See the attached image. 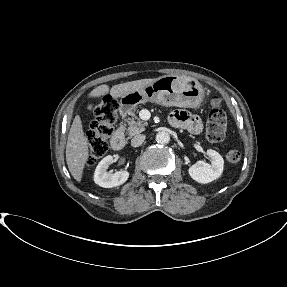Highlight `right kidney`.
Listing matches in <instances>:
<instances>
[{"label":"right kidney","mask_w":287,"mask_h":287,"mask_svg":"<svg viewBox=\"0 0 287 287\" xmlns=\"http://www.w3.org/2000/svg\"><path fill=\"white\" fill-rule=\"evenodd\" d=\"M113 156L108 155L104 157L97 165L94 172V182L104 188H112L124 184L129 178V172L117 171L115 173L107 172L111 163H113Z\"/></svg>","instance_id":"obj_1"}]
</instances>
